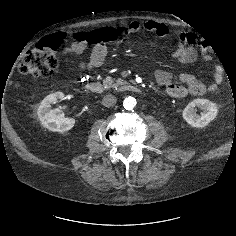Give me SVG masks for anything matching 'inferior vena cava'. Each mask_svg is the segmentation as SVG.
Segmentation results:
<instances>
[{
  "instance_id": "1",
  "label": "inferior vena cava",
  "mask_w": 236,
  "mask_h": 236,
  "mask_svg": "<svg viewBox=\"0 0 236 236\" xmlns=\"http://www.w3.org/2000/svg\"><path fill=\"white\" fill-rule=\"evenodd\" d=\"M116 97L109 94V95H106L103 97L102 99V104L105 106V107H112L116 104Z\"/></svg>"
}]
</instances>
